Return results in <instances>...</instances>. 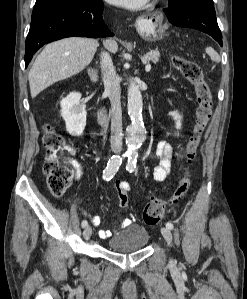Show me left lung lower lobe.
Here are the masks:
<instances>
[{
  "label": "left lung lower lobe",
  "instance_id": "left-lung-lower-lobe-1",
  "mask_svg": "<svg viewBox=\"0 0 247 299\" xmlns=\"http://www.w3.org/2000/svg\"><path fill=\"white\" fill-rule=\"evenodd\" d=\"M164 12L171 24L207 33L222 46L221 31L213 5L199 0H184L174 8L164 9Z\"/></svg>",
  "mask_w": 247,
  "mask_h": 299
}]
</instances>
